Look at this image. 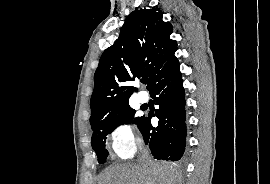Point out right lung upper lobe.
Listing matches in <instances>:
<instances>
[{
	"label": "right lung upper lobe",
	"instance_id": "right-lung-upper-lobe-1",
	"mask_svg": "<svg viewBox=\"0 0 270 184\" xmlns=\"http://www.w3.org/2000/svg\"><path fill=\"white\" fill-rule=\"evenodd\" d=\"M157 8L133 11L125 20L119 38L107 48L94 74L90 124L109 118L129 105L136 88L129 81L148 76L150 90L155 81L177 62L173 27L162 20Z\"/></svg>",
	"mask_w": 270,
	"mask_h": 184
}]
</instances>
